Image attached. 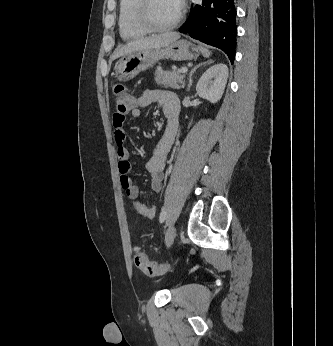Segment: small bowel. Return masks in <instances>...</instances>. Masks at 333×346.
Returning <instances> with one entry per match:
<instances>
[{
  "mask_svg": "<svg viewBox=\"0 0 333 346\" xmlns=\"http://www.w3.org/2000/svg\"><path fill=\"white\" fill-rule=\"evenodd\" d=\"M152 103H156L161 107L167 122L165 132L154 154L146 164V169L151 176V189L154 193H160L164 178L163 171L166 156L178 133L179 100L177 95L172 91L165 89H147L141 96L135 99V106L130 112L131 119H137L140 116V108L147 107ZM113 126L115 128V138L119 146L117 149V159L121 186L131 199L134 211L144 218L152 219L156 214L155 207L145 205L138 200L140 193L139 187L134 184L129 176L131 171L130 152L122 145L127 136L124 128V118L121 116H114Z\"/></svg>",
  "mask_w": 333,
  "mask_h": 346,
  "instance_id": "obj_1",
  "label": "small bowel"
}]
</instances>
